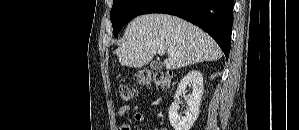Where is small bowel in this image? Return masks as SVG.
<instances>
[{
    "label": "small bowel",
    "mask_w": 299,
    "mask_h": 130,
    "mask_svg": "<svg viewBox=\"0 0 299 130\" xmlns=\"http://www.w3.org/2000/svg\"><path fill=\"white\" fill-rule=\"evenodd\" d=\"M127 113H131L134 120H136L137 122L145 123V124L147 123L146 118L143 116V114L140 112L137 106L125 105L118 110V116H124ZM118 130H132V129L129 124L124 123L119 126Z\"/></svg>",
    "instance_id": "1"
}]
</instances>
